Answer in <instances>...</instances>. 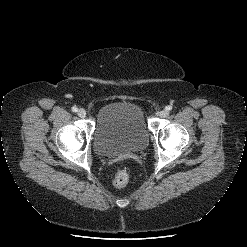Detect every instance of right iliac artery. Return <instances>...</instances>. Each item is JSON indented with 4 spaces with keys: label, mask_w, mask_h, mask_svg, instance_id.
I'll return each instance as SVG.
<instances>
[{
    "label": "right iliac artery",
    "mask_w": 247,
    "mask_h": 247,
    "mask_svg": "<svg viewBox=\"0 0 247 247\" xmlns=\"http://www.w3.org/2000/svg\"><path fill=\"white\" fill-rule=\"evenodd\" d=\"M72 111L73 112H77L78 111V108L74 106V107H72Z\"/></svg>",
    "instance_id": "82829eb1"
}]
</instances>
